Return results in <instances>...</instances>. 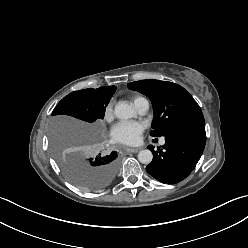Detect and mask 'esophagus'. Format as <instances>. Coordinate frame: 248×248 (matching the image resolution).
<instances>
[{
  "label": "esophagus",
  "instance_id": "34e87169",
  "mask_svg": "<svg viewBox=\"0 0 248 248\" xmlns=\"http://www.w3.org/2000/svg\"><path fill=\"white\" fill-rule=\"evenodd\" d=\"M140 150V148H126V151L127 152H130V153H136Z\"/></svg>",
  "mask_w": 248,
  "mask_h": 248
}]
</instances>
